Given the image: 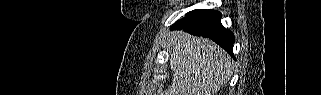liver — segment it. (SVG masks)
Wrapping results in <instances>:
<instances>
[{
    "label": "liver",
    "instance_id": "6515ba94",
    "mask_svg": "<svg viewBox=\"0 0 321 95\" xmlns=\"http://www.w3.org/2000/svg\"><path fill=\"white\" fill-rule=\"evenodd\" d=\"M169 47L173 79L162 95H216L229 80L231 58L213 41L176 31Z\"/></svg>",
    "mask_w": 321,
    "mask_h": 95
}]
</instances>
